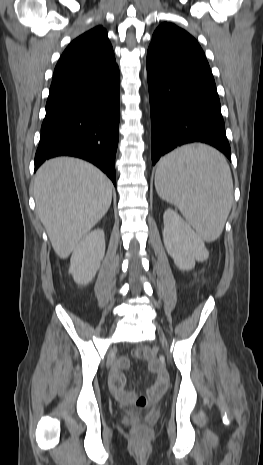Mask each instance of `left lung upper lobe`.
<instances>
[{
	"label": "left lung upper lobe",
	"mask_w": 263,
	"mask_h": 465,
	"mask_svg": "<svg viewBox=\"0 0 263 465\" xmlns=\"http://www.w3.org/2000/svg\"><path fill=\"white\" fill-rule=\"evenodd\" d=\"M149 47L174 53L205 58L198 42L185 30L171 23H162L154 32Z\"/></svg>",
	"instance_id": "5c2ea615"
}]
</instances>
